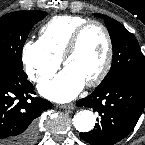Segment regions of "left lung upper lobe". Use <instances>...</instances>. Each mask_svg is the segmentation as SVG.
Instances as JSON below:
<instances>
[{"label":"left lung upper lobe","instance_id":"obj_1","mask_svg":"<svg viewBox=\"0 0 145 145\" xmlns=\"http://www.w3.org/2000/svg\"><path fill=\"white\" fill-rule=\"evenodd\" d=\"M94 15L104 19L113 46L111 69L97 88L121 77L145 80V62L135 36L118 21L102 14Z\"/></svg>","mask_w":145,"mask_h":145}]
</instances>
